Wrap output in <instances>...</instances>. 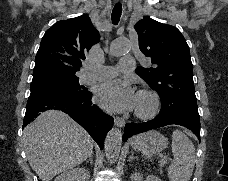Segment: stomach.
<instances>
[{"mask_svg": "<svg viewBox=\"0 0 228 181\" xmlns=\"http://www.w3.org/2000/svg\"><path fill=\"white\" fill-rule=\"evenodd\" d=\"M168 141L160 135L158 131H149V133H144V135H138L135 137L132 147L133 149H144L147 155H160L163 149H167Z\"/></svg>", "mask_w": 228, "mask_h": 181, "instance_id": "obj_1", "label": "stomach"}]
</instances>
